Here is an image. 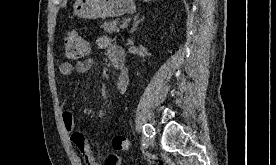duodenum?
<instances>
[{
    "label": "duodenum",
    "instance_id": "duodenum-1",
    "mask_svg": "<svg viewBox=\"0 0 276 165\" xmlns=\"http://www.w3.org/2000/svg\"><path fill=\"white\" fill-rule=\"evenodd\" d=\"M112 66L117 69L121 70L124 66L123 61L117 57L111 59Z\"/></svg>",
    "mask_w": 276,
    "mask_h": 165
}]
</instances>
